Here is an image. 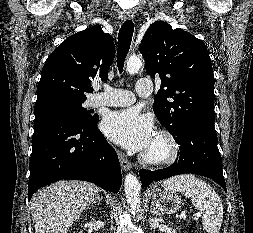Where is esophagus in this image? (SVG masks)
<instances>
[{"label": "esophagus", "mask_w": 253, "mask_h": 233, "mask_svg": "<svg viewBox=\"0 0 253 233\" xmlns=\"http://www.w3.org/2000/svg\"><path fill=\"white\" fill-rule=\"evenodd\" d=\"M134 18H135L134 12H127L126 15H125L126 20H133ZM118 157H119V161H120V164H121V168L124 171H129L131 169V164H130L127 156L124 153L119 151L118 152Z\"/></svg>", "instance_id": "34e87169"}]
</instances>
